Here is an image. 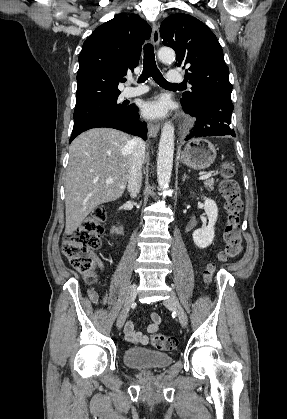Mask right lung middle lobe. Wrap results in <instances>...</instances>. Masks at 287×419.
<instances>
[{
	"instance_id": "right-lung-middle-lobe-1",
	"label": "right lung middle lobe",
	"mask_w": 287,
	"mask_h": 419,
	"mask_svg": "<svg viewBox=\"0 0 287 419\" xmlns=\"http://www.w3.org/2000/svg\"><path fill=\"white\" fill-rule=\"evenodd\" d=\"M119 95L101 99L90 104L75 107L73 118H74V125L78 124L79 122L92 117L98 114H126L131 110V106H127L126 104H120L117 102Z\"/></svg>"
}]
</instances>
